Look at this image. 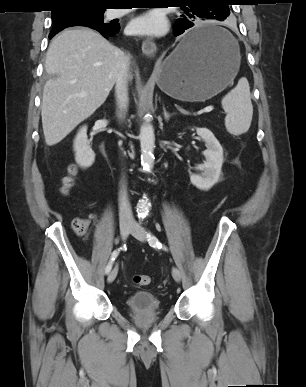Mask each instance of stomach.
I'll return each instance as SVG.
<instances>
[{
    "label": "stomach",
    "instance_id": "0dacf381",
    "mask_svg": "<svg viewBox=\"0 0 306 387\" xmlns=\"http://www.w3.org/2000/svg\"><path fill=\"white\" fill-rule=\"evenodd\" d=\"M214 29L227 39L185 50L183 41L158 66L157 84L167 95L183 101L202 102L225 89L240 67L236 40L223 28L202 23L190 32Z\"/></svg>",
    "mask_w": 306,
    "mask_h": 387
}]
</instances>
